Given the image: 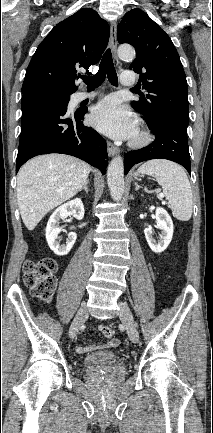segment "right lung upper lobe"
Returning a JSON list of instances; mask_svg holds the SVG:
<instances>
[{
	"mask_svg": "<svg viewBox=\"0 0 213 433\" xmlns=\"http://www.w3.org/2000/svg\"><path fill=\"white\" fill-rule=\"evenodd\" d=\"M109 32L108 23L91 8L80 9L58 23L40 43L27 67L23 95L74 93L78 89L77 69L90 73L89 67L101 59Z\"/></svg>",
	"mask_w": 213,
	"mask_h": 433,
	"instance_id": "right-lung-upper-lobe-1",
	"label": "right lung upper lobe"
}]
</instances>
